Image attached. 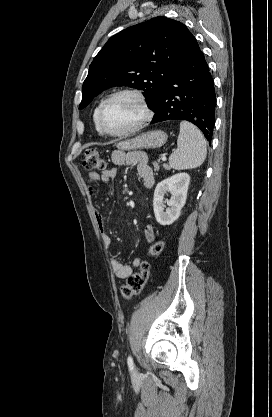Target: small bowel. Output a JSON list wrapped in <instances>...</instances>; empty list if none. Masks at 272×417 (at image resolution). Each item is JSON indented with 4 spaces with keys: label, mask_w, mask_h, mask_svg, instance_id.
<instances>
[{
    "label": "small bowel",
    "mask_w": 272,
    "mask_h": 417,
    "mask_svg": "<svg viewBox=\"0 0 272 417\" xmlns=\"http://www.w3.org/2000/svg\"><path fill=\"white\" fill-rule=\"evenodd\" d=\"M111 160L116 166H134L137 170L138 176L143 180L144 185L147 188H150L154 184V174L151 167L148 164V159L145 153L143 152H130L126 153L124 151L116 150L111 155ZM118 170L116 168H111L104 170L101 173L94 171L89 172L87 179V186L91 196H94V185L98 181L104 183H109L116 178ZM95 219L101 231V237L106 250H110L112 246V238L105 231L103 224V217L98 210H95ZM145 236L149 242H152L155 238L154 229L151 225L147 226L145 229ZM150 257V256H148ZM141 266V260L136 258L134 259L132 265L122 263L121 261L111 258L110 267L112 272L118 278H128L132 272L133 268H138Z\"/></svg>",
    "instance_id": "1"
}]
</instances>
